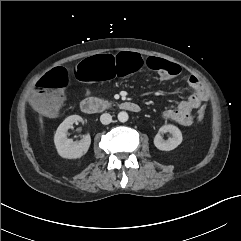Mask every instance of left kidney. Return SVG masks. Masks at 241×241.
I'll use <instances>...</instances> for the list:
<instances>
[{
  "label": "left kidney",
  "instance_id": "obj_1",
  "mask_svg": "<svg viewBox=\"0 0 241 241\" xmlns=\"http://www.w3.org/2000/svg\"><path fill=\"white\" fill-rule=\"evenodd\" d=\"M166 132H169L172 134V137L169 138L168 140H164L161 136V134ZM182 140H183L182 133L179 130V128L172 124H168V125H163L159 129V132L156 134L154 138V145L159 150L170 151L175 149L178 145H180Z\"/></svg>",
  "mask_w": 241,
  "mask_h": 241
}]
</instances>
